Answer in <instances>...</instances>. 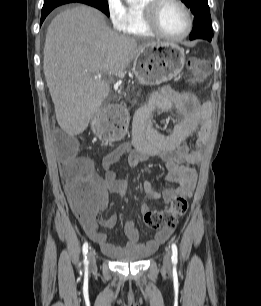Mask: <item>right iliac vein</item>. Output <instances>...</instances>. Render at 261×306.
Returning a JSON list of instances; mask_svg holds the SVG:
<instances>
[{
  "mask_svg": "<svg viewBox=\"0 0 261 306\" xmlns=\"http://www.w3.org/2000/svg\"><path fill=\"white\" fill-rule=\"evenodd\" d=\"M88 259H89V269L94 270L96 268V256L93 250L89 251Z\"/></svg>",
  "mask_w": 261,
  "mask_h": 306,
  "instance_id": "right-iliac-vein-1",
  "label": "right iliac vein"
}]
</instances>
